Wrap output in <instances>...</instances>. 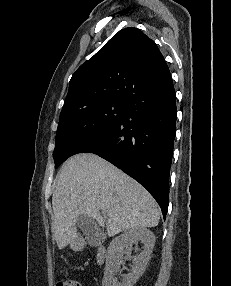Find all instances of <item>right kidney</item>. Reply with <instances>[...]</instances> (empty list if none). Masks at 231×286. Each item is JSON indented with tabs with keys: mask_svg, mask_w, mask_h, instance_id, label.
I'll list each match as a JSON object with an SVG mask.
<instances>
[{
	"mask_svg": "<svg viewBox=\"0 0 231 286\" xmlns=\"http://www.w3.org/2000/svg\"><path fill=\"white\" fill-rule=\"evenodd\" d=\"M155 239L153 232L142 227L126 230L113 239L108 249L102 286H133L146 269ZM138 241L144 244L143 251L133 260L131 272L123 277L122 282H118L116 275L124 262V255L127 256L125 259L130 258L132 245Z\"/></svg>",
	"mask_w": 231,
	"mask_h": 286,
	"instance_id": "right-kidney-1",
	"label": "right kidney"
}]
</instances>
